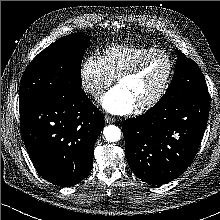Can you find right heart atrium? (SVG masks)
Wrapping results in <instances>:
<instances>
[{
  "label": "right heart atrium",
  "instance_id": "obj_1",
  "mask_svg": "<svg viewBox=\"0 0 220 220\" xmlns=\"http://www.w3.org/2000/svg\"><path fill=\"white\" fill-rule=\"evenodd\" d=\"M113 80L100 57L90 55L83 61L80 67V84L82 90L92 98L98 100Z\"/></svg>",
  "mask_w": 220,
  "mask_h": 220
}]
</instances>
